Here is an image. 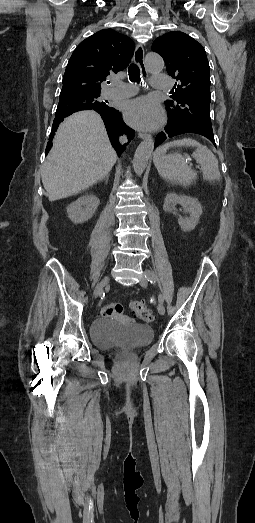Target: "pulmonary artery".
I'll use <instances>...</instances> for the list:
<instances>
[{
	"mask_svg": "<svg viewBox=\"0 0 255 523\" xmlns=\"http://www.w3.org/2000/svg\"><path fill=\"white\" fill-rule=\"evenodd\" d=\"M151 82L154 84L153 88L157 92H163L165 90H171L173 88L172 81L166 73H156ZM138 88L133 83H125L117 78L111 79V87L106 90L107 99L124 98L134 95Z\"/></svg>",
	"mask_w": 255,
	"mask_h": 523,
	"instance_id": "pulmonary-artery-1",
	"label": "pulmonary artery"
}]
</instances>
